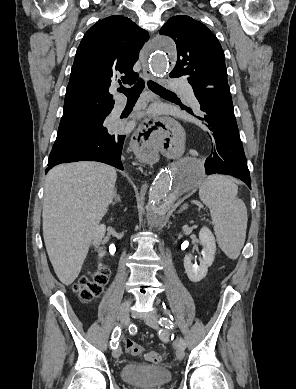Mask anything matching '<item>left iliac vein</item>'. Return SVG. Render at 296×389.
<instances>
[{
    "mask_svg": "<svg viewBox=\"0 0 296 389\" xmlns=\"http://www.w3.org/2000/svg\"><path fill=\"white\" fill-rule=\"evenodd\" d=\"M144 321L147 325L153 328L158 327V316L156 314H150L144 318ZM184 347L180 344L176 347V357L178 360H182L184 358Z\"/></svg>",
    "mask_w": 296,
    "mask_h": 389,
    "instance_id": "left-iliac-vein-1",
    "label": "left iliac vein"
}]
</instances>
